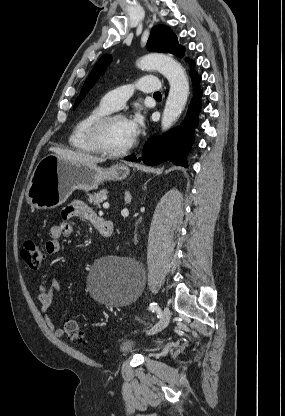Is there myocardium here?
Wrapping results in <instances>:
<instances>
[{
	"instance_id": "1",
	"label": "myocardium",
	"mask_w": 285,
	"mask_h": 416,
	"mask_svg": "<svg viewBox=\"0 0 285 416\" xmlns=\"http://www.w3.org/2000/svg\"><path fill=\"white\" fill-rule=\"evenodd\" d=\"M115 119H125L121 113L109 111L92 122L88 130V141L93 150L101 155L120 157L132 148V141L124 148L113 150L108 148L103 141V133L107 125Z\"/></svg>"
}]
</instances>
